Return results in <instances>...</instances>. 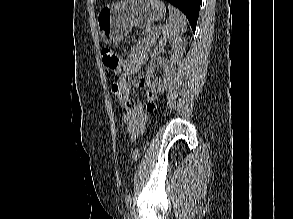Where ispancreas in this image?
I'll list each match as a JSON object with an SVG mask.
<instances>
[{
  "label": "pancreas",
  "instance_id": "pancreas-1",
  "mask_svg": "<svg viewBox=\"0 0 293 219\" xmlns=\"http://www.w3.org/2000/svg\"><path fill=\"white\" fill-rule=\"evenodd\" d=\"M143 34L147 35L152 44H154L159 36V29L155 26L146 27Z\"/></svg>",
  "mask_w": 293,
  "mask_h": 219
}]
</instances>
